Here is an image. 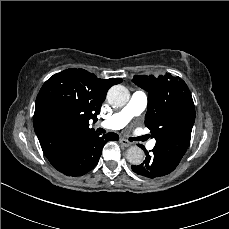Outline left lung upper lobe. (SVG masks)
Segmentation results:
<instances>
[{
    "instance_id": "5c2ea615",
    "label": "left lung upper lobe",
    "mask_w": 229,
    "mask_h": 229,
    "mask_svg": "<svg viewBox=\"0 0 229 229\" xmlns=\"http://www.w3.org/2000/svg\"><path fill=\"white\" fill-rule=\"evenodd\" d=\"M132 81L148 92L145 125L166 162L177 166L191 139L195 106L186 83L170 74L135 75Z\"/></svg>"
}]
</instances>
